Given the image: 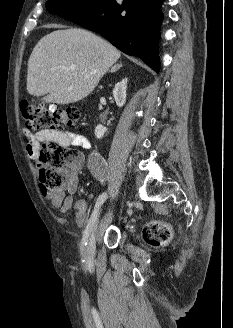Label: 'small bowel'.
Segmentation results:
<instances>
[{
	"label": "small bowel",
	"instance_id": "c3829d8e",
	"mask_svg": "<svg viewBox=\"0 0 233 328\" xmlns=\"http://www.w3.org/2000/svg\"><path fill=\"white\" fill-rule=\"evenodd\" d=\"M24 133L27 137L26 150L30 156H35L40 143L47 140L55 141L65 148L77 146L89 149L91 146L87 137L70 131L41 130L37 133H32L30 129L26 128ZM77 186V179L74 178L64 187L57 190L47 191L41 188V193L54 207L59 208L62 213L74 208L77 221L81 224L85 220L86 204L84 201L75 198L74 194Z\"/></svg>",
	"mask_w": 233,
	"mask_h": 328
}]
</instances>
